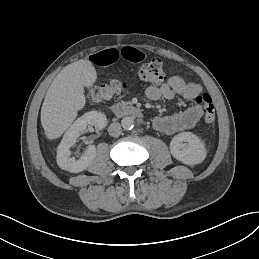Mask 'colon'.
<instances>
[{
	"mask_svg": "<svg viewBox=\"0 0 259 259\" xmlns=\"http://www.w3.org/2000/svg\"><path fill=\"white\" fill-rule=\"evenodd\" d=\"M139 78L149 84H160L165 80L163 63L155 58L142 65L138 72ZM124 84L114 81L108 84L92 87L88 91L89 97L94 101H103L112 98L123 90ZM196 102L204 108V120L207 125H212L215 121V111L212 99L209 94L202 93L196 98Z\"/></svg>",
	"mask_w": 259,
	"mask_h": 259,
	"instance_id": "obj_1",
	"label": "colon"
}]
</instances>
